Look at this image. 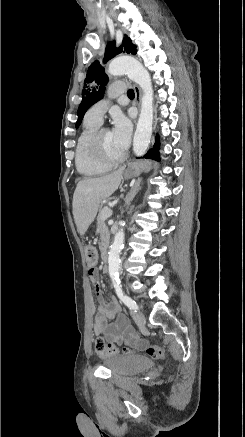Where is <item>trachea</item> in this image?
Here are the masks:
<instances>
[{
  "label": "trachea",
  "mask_w": 245,
  "mask_h": 437,
  "mask_svg": "<svg viewBox=\"0 0 245 437\" xmlns=\"http://www.w3.org/2000/svg\"><path fill=\"white\" fill-rule=\"evenodd\" d=\"M127 95L129 97L134 96V90L133 89L128 90Z\"/></svg>",
  "instance_id": "3493384b"
}]
</instances>
